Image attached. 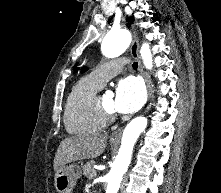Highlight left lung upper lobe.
<instances>
[{"label": "left lung upper lobe", "instance_id": "5c2ea615", "mask_svg": "<svg viewBox=\"0 0 221 193\" xmlns=\"http://www.w3.org/2000/svg\"><path fill=\"white\" fill-rule=\"evenodd\" d=\"M77 70H78V68L75 69V71H77ZM85 71H86V69L83 68V69H82V73L85 72Z\"/></svg>", "mask_w": 221, "mask_h": 193}]
</instances>
